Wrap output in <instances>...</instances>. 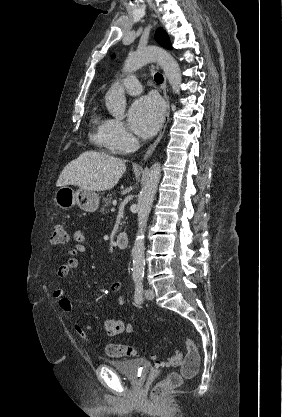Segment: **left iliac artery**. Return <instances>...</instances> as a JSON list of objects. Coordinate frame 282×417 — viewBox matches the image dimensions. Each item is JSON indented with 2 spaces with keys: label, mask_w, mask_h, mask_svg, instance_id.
Here are the masks:
<instances>
[{
  "label": "left iliac artery",
  "mask_w": 282,
  "mask_h": 417,
  "mask_svg": "<svg viewBox=\"0 0 282 417\" xmlns=\"http://www.w3.org/2000/svg\"><path fill=\"white\" fill-rule=\"evenodd\" d=\"M142 293H143L142 279H138L136 280V288H135V294H134V300L138 304H140L143 301Z\"/></svg>",
  "instance_id": "44dca946"
}]
</instances>
